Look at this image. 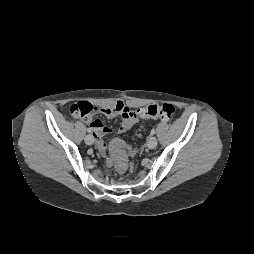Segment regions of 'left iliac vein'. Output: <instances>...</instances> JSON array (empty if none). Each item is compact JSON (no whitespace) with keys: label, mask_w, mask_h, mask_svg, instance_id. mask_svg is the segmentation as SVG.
<instances>
[{"label":"left iliac vein","mask_w":254,"mask_h":254,"mask_svg":"<svg viewBox=\"0 0 254 254\" xmlns=\"http://www.w3.org/2000/svg\"><path fill=\"white\" fill-rule=\"evenodd\" d=\"M157 143H158V141H157V138L155 136H150L147 140V146L150 149L155 148L157 146Z\"/></svg>","instance_id":"1"}]
</instances>
